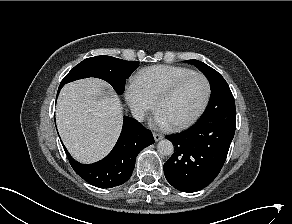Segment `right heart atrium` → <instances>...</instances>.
I'll use <instances>...</instances> for the list:
<instances>
[{"label":"right heart atrium","mask_w":292,"mask_h":224,"mask_svg":"<svg viewBox=\"0 0 292 224\" xmlns=\"http://www.w3.org/2000/svg\"><path fill=\"white\" fill-rule=\"evenodd\" d=\"M125 98L133 115L138 119H142L147 112L154 108V101L148 97L135 81H131L126 86Z\"/></svg>","instance_id":"1"}]
</instances>
